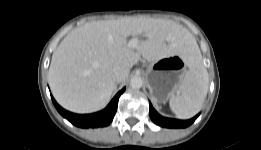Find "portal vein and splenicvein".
<instances>
[{
	"label": "portal vein and splenic vein",
	"instance_id": "18ae733b",
	"mask_svg": "<svg viewBox=\"0 0 261 150\" xmlns=\"http://www.w3.org/2000/svg\"><path fill=\"white\" fill-rule=\"evenodd\" d=\"M139 40L137 38H132L128 45L132 48H136L138 46Z\"/></svg>",
	"mask_w": 261,
	"mask_h": 150
}]
</instances>
